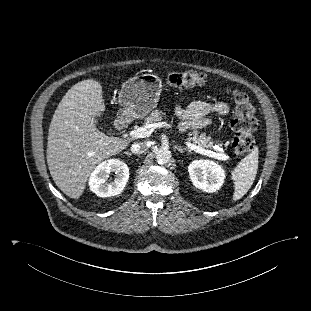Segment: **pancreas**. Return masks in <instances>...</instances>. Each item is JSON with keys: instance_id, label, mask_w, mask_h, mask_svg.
I'll return each mask as SVG.
<instances>
[{"instance_id": "pancreas-1", "label": "pancreas", "mask_w": 311, "mask_h": 311, "mask_svg": "<svg viewBox=\"0 0 311 311\" xmlns=\"http://www.w3.org/2000/svg\"><path fill=\"white\" fill-rule=\"evenodd\" d=\"M164 115L165 113H163L162 111L154 110L150 113V115L147 118H145V123L146 124L156 123L160 121ZM199 133L200 132H198L197 130L190 132L188 134V140L192 141L195 145L202 147L204 149L212 148L213 142L210 140V138L205 133H201L200 135Z\"/></svg>"}]
</instances>
